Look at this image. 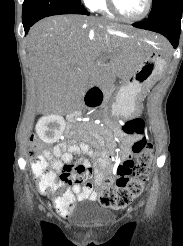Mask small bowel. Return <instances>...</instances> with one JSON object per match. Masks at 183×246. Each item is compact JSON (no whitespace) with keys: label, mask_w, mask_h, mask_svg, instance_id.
<instances>
[{"label":"small bowel","mask_w":183,"mask_h":246,"mask_svg":"<svg viewBox=\"0 0 183 246\" xmlns=\"http://www.w3.org/2000/svg\"><path fill=\"white\" fill-rule=\"evenodd\" d=\"M80 135L85 142L70 145L61 143L51 151H44V156L50 160L52 168L59 173L60 178H73L70 182L71 190L64 191L60 196L62 200L72 203L70 208L58 209L63 216H68L77 202L97 200L98 196L94 191L92 177L94 176L96 181H102L110 161L114 158L121 161L131 159L134 144L142 139V133L126 134L117 127L83 131ZM114 135H117L124 144V149L117 157H115L116 140ZM81 154L93 156L95 166L93 167L87 159L80 160L78 164H71L72 156ZM73 171L75 172L73 173ZM77 171L83 172L78 173ZM58 187L57 185L54 192Z\"/></svg>","instance_id":"1"}]
</instances>
